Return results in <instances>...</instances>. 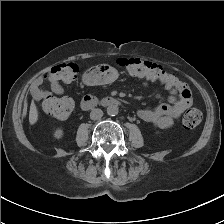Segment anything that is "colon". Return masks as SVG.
I'll list each match as a JSON object with an SVG mask.
<instances>
[{
	"instance_id": "colon-1",
	"label": "colon",
	"mask_w": 224,
	"mask_h": 224,
	"mask_svg": "<svg viewBox=\"0 0 224 224\" xmlns=\"http://www.w3.org/2000/svg\"><path fill=\"white\" fill-rule=\"evenodd\" d=\"M117 64L135 77L146 78L162 85L171 83L176 76L164 70L158 64L139 58H120ZM79 71V66L74 61H67L52 67V72L57 74L66 83L72 82ZM44 110L52 117L66 119L73 110V101L69 97H47L44 101ZM202 121V113L199 109L190 107L183 116V125L187 129L197 127Z\"/></svg>"
}]
</instances>
